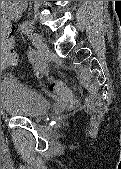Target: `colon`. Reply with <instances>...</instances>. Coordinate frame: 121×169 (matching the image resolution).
I'll return each instance as SVG.
<instances>
[{"instance_id": "obj_1", "label": "colon", "mask_w": 121, "mask_h": 169, "mask_svg": "<svg viewBox=\"0 0 121 169\" xmlns=\"http://www.w3.org/2000/svg\"><path fill=\"white\" fill-rule=\"evenodd\" d=\"M17 54L14 50V44H11L9 40H5L1 44V60L2 66L13 67L17 63ZM49 90L54 93L61 101L65 103L74 102V94L70 87H68L62 80L57 78H50L48 80Z\"/></svg>"}]
</instances>
